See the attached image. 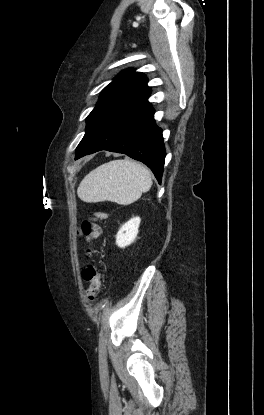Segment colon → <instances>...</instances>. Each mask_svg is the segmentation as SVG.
<instances>
[{"label":"colon","mask_w":264,"mask_h":415,"mask_svg":"<svg viewBox=\"0 0 264 415\" xmlns=\"http://www.w3.org/2000/svg\"><path fill=\"white\" fill-rule=\"evenodd\" d=\"M107 216L105 211L95 210L90 216L82 221V232L85 236H89L92 232V224L95 221L103 220ZM94 253L91 251L86 252V257L90 260ZM84 278L89 282V286L86 289V297L90 302H94L98 296V293L102 284V274L100 269L87 261L84 265Z\"/></svg>","instance_id":"1"}]
</instances>
